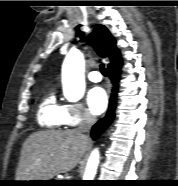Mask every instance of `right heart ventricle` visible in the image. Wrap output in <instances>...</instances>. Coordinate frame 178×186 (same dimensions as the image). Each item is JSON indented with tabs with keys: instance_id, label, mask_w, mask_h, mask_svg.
<instances>
[{
	"instance_id": "e07e8e85",
	"label": "right heart ventricle",
	"mask_w": 178,
	"mask_h": 186,
	"mask_svg": "<svg viewBox=\"0 0 178 186\" xmlns=\"http://www.w3.org/2000/svg\"><path fill=\"white\" fill-rule=\"evenodd\" d=\"M37 121L42 128L59 130L67 124V106L61 104L55 94L51 93L39 104Z\"/></svg>"
}]
</instances>
